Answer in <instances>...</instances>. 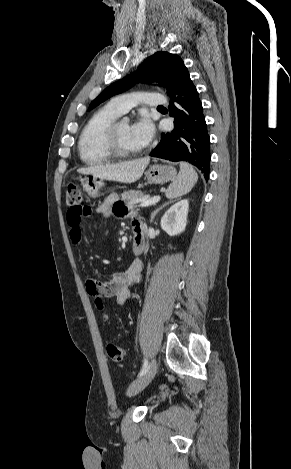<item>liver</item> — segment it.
Masks as SVG:
<instances>
[{
  "label": "liver",
  "mask_w": 291,
  "mask_h": 469,
  "mask_svg": "<svg viewBox=\"0 0 291 469\" xmlns=\"http://www.w3.org/2000/svg\"><path fill=\"white\" fill-rule=\"evenodd\" d=\"M149 162L150 158L145 157L118 164L96 165L87 168H80L77 172L121 183H133L142 176Z\"/></svg>",
  "instance_id": "1"
}]
</instances>
